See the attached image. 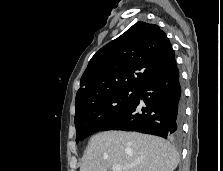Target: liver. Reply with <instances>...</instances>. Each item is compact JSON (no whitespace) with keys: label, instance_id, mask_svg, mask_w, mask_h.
Instances as JSON below:
<instances>
[{"label":"liver","instance_id":"liver-1","mask_svg":"<svg viewBox=\"0 0 223 171\" xmlns=\"http://www.w3.org/2000/svg\"><path fill=\"white\" fill-rule=\"evenodd\" d=\"M179 161L176 149L163 138L111 130L90 138L80 171H107L115 164L123 171H174Z\"/></svg>","mask_w":223,"mask_h":171}]
</instances>
